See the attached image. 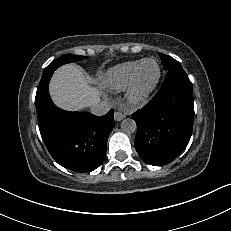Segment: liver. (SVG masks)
Wrapping results in <instances>:
<instances>
[{
    "mask_svg": "<svg viewBox=\"0 0 231 231\" xmlns=\"http://www.w3.org/2000/svg\"><path fill=\"white\" fill-rule=\"evenodd\" d=\"M53 102L65 110H81L97 104L100 92L87 81L81 69L74 64L58 68L50 82Z\"/></svg>",
    "mask_w": 231,
    "mask_h": 231,
    "instance_id": "1",
    "label": "liver"
}]
</instances>
